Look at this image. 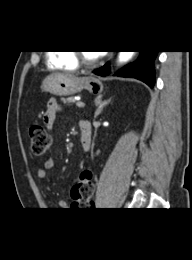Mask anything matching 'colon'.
<instances>
[{
  "label": "colon",
  "instance_id": "obj_1",
  "mask_svg": "<svg viewBox=\"0 0 192 260\" xmlns=\"http://www.w3.org/2000/svg\"><path fill=\"white\" fill-rule=\"evenodd\" d=\"M29 135L33 154L36 156L44 155L51 144V137L47 129L40 124H33L29 128ZM94 191L95 184L92 172L90 170H84L72 188V199L83 205H91Z\"/></svg>",
  "mask_w": 192,
  "mask_h": 260
}]
</instances>
